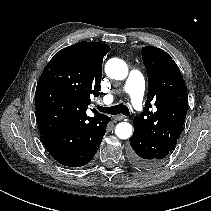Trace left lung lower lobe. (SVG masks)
Here are the masks:
<instances>
[{
    "label": "left lung lower lobe",
    "instance_id": "obj_1",
    "mask_svg": "<svg viewBox=\"0 0 211 211\" xmlns=\"http://www.w3.org/2000/svg\"><path fill=\"white\" fill-rule=\"evenodd\" d=\"M129 141V160L134 167L142 170L157 168L171 153L164 145L147 137L137 128H134Z\"/></svg>",
    "mask_w": 211,
    "mask_h": 211
}]
</instances>
